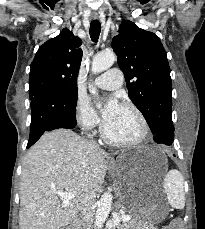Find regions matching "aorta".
<instances>
[{"instance_id": "obj_1", "label": "aorta", "mask_w": 205, "mask_h": 229, "mask_svg": "<svg viewBox=\"0 0 205 229\" xmlns=\"http://www.w3.org/2000/svg\"><path fill=\"white\" fill-rule=\"evenodd\" d=\"M115 60L116 56L112 51L98 53L92 60L91 70L94 74L105 71L114 64ZM89 91L94 96L98 95L96 88L93 86H89ZM97 106L100 107V104ZM112 199V195L109 192L104 193L100 198L95 216L96 228H101L108 217L111 210Z\"/></svg>"}]
</instances>
